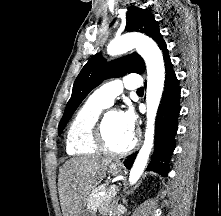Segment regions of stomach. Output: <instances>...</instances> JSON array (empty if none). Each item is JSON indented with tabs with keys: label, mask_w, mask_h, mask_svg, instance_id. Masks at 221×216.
<instances>
[{
	"label": "stomach",
	"mask_w": 221,
	"mask_h": 216,
	"mask_svg": "<svg viewBox=\"0 0 221 216\" xmlns=\"http://www.w3.org/2000/svg\"><path fill=\"white\" fill-rule=\"evenodd\" d=\"M109 172L112 175H118L122 173V167L118 163L111 164L109 167ZM80 216H95V214L91 210H86V211H83V213Z\"/></svg>",
	"instance_id": "0dacf381"
}]
</instances>
